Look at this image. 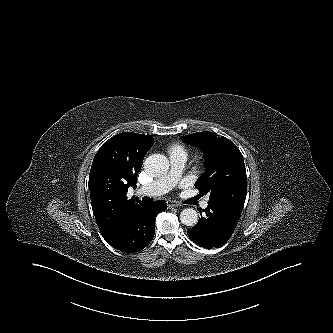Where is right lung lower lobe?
Segmentation results:
<instances>
[{
    "instance_id": "obj_1",
    "label": "right lung lower lobe",
    "mask_w": 333,
    "mask_h": 333,
    "mask_svg": "<svg viewBox=\"0 0 333 333\" xmlns=\"http://www.w3.org/2000/svg\"><path fill=\"white\" fill-rule=\"evenodd\" d=\"M166 208L165 201L135 205L126 213L116 233L107 242L126 253L142 250L154 236L156 216Z\"/></svg>"
}]
</instances>
